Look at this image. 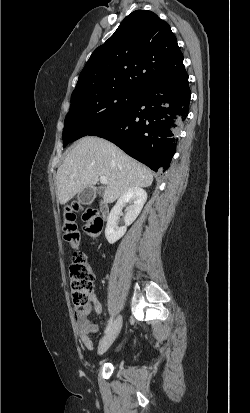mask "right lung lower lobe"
<instances>
[{"instance_id":"98d812e1","label":"right lung lower lobe","mask_w":250,"mask_h":413,"mask_svg":"<svg viewBox=\"0 0 250 413\" xmlns=\"http://www.w3.org/2000/svg\"><path fill=\"white\" fill-rule=\"evenodd\" d=\"M190 97L187 73L150 83L128 108L88 135L107 139L153 171L164 172L176 152Z\"/></svg>"}]
</instances>
